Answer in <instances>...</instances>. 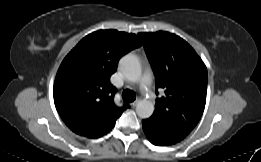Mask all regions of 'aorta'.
Returning a JSON list of instances; mask_svg holds the SVG:
<instances>
[{
    "label": "aorta",
    "mask_w": 261,
    "mask_h": 162,
    "mask_svg": "<svg viewBox=\"0 0 261 162\" xmlns=\"http://www.w3.org/2000/svg\"><path fill=\"white\" fill-rule=\"evenodd\" d=\"M119 69L123 76L131 81L137 82L141 77V65L133 55H125L119 61ZM154 112V105L151 101L141 100L136 106V113L140 118H149Z\"/></svg>",
    "instance_id": "1"
}]
</instances>
